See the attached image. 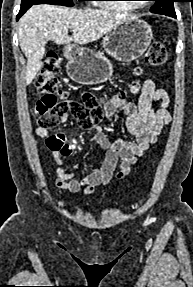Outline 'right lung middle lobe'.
<instances>
[{
	"mask_svg": "<svg viewBox=\"0 0 193 287\" xmlns=\"http://www.w3.org/2000/svg\"><path fill=\"white\" fill-rule=\"evenodd\" d=\"M79 1H89V0H79ZM36 4H53L62 5L67 7H72L74 4L72 0H22L21 6L36 5Z\"/></svg>",
	"mask_w": 193,
	"mask_h": 287,
	"instance_id": "dd1d6c3e",
	"label": "right lung middle lobe"
}]
</instances>
